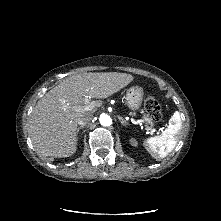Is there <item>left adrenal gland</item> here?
Masks as SVG:
<instances>
[{"label": "left adrenal gland", "instance_id": "a2214340", "mask_svg": "<svg viewBox=\"0 0 221 221\" xmlns=\"http://www.w3.org/2000/svg\"><path fill=\"white\" fill-rule=\"evenodd\" d=\"M119 120H120V122H121V124L123 125V126H128L129 124H128V122L126 121V120H124L122 117H120L119 116Z\"/></svg>", "mask_w": 221, "mask_h": 221}]
</instances>
